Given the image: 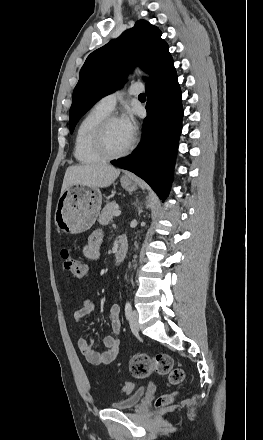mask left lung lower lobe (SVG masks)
Segmentation results:
<instances>
[{
    "label": "left lung lower lobe",
    "instance_id": "obj_1",
    "mask_svg": "<svg viewBox=\"0 0 263 440\" xmlns=\"http://www.w3.org/2000/svg\"><path fill=\"white\" fill-rule=\"evenodd\" d=\"M147 117L142 140L129 156L112 164L144 179L161 199L168 195L182 130V93L174 62L155 71L146 83Z\"/></svg>",
    "mask_w": 263,
    "mask_h": 440
}]
</instances>
